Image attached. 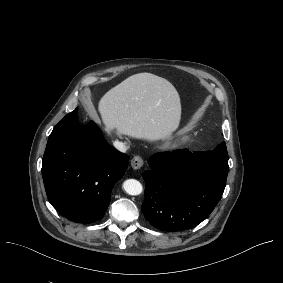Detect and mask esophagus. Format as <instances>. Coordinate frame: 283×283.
Wrapping results in <instances>:
<instances>
[{
    "instance_id": "obj_1",
    "label": "esophagus",
    "mask_w": 283,
    "mask_h": 283,
    "mask_svg": "<svg viewBox=\"0 0 283 283\" xmlns=\"http://www.w3.org/2000/svg\"><path fill=\"white\" fill-rule=\"evenodd\" d=\"M144 165V161L140 156H135L131 160V166L133 169H140Z\"/></svg>"
}]
</instances>
